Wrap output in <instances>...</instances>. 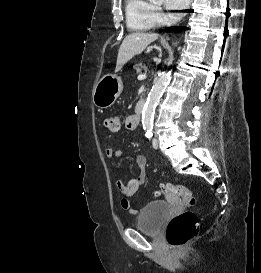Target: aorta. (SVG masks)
<instances>
[{
  "instance_id": "762f6f07",
  "label": "aorta",
  "mask_w": 261,
  "mask_h": 273,
  "mask_svg": "<svg viewBox=\"0 0 261 273\" xmlns=\"http://www.w3.org/2000/svg\"><path fill=\"white\" fill-rule=\"evenodd\" d=\"M152 2H161L162 0H151ZM171 72H163L154 82L152 89L148 95L147 101L142 112V125L146 130H152L155 108L161 98L165 88L170 82Z\"/></svg>"
}]
</instances>
